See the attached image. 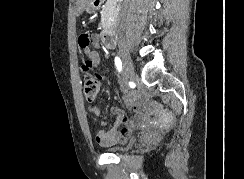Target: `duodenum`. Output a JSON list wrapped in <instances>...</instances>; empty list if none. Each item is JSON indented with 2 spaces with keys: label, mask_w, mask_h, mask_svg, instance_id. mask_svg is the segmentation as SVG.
Wrapping results in <instances>:
<instances>
[{
  "label": "duodenum",
  "mask_w": 244,
  "mask_h": 179,
  "mask_svg": "<svg viewBox=\"0 0 244 179\" xmlns=\"http://www.w3.org/2000/svg\"><path fill=\"white\" fill-rule=\"evenodd\" d=\"M103 3H107V0H94L92 1L91 10H98V6H102ZM102 42L105 46L113 48L117 43L116 26L114 18H109L108 23L103 28L101 34Z\"/></svg>",
  "instance_id": "duodenum-1"
}]
</instances>
